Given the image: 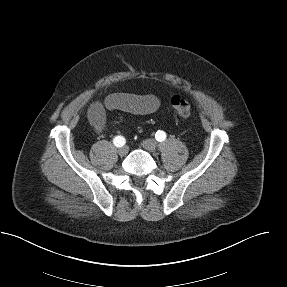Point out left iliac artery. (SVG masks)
<instances>
[{"mask_svg": "<svg viewBox=\"0 0 287 287\" xmlns=\"http://www.w3.org/2000/svg\"><path fill=\"white\" fill-rule=\"evenodd\" d=\"M157 141L162 142L166 139V133L164 131L158 130L155 134Z\"/></svg>", "mask_w": 287, "mask_h": 287, "instance_id": "44dca946", "label": "left iliac artery"}]
</instances>
